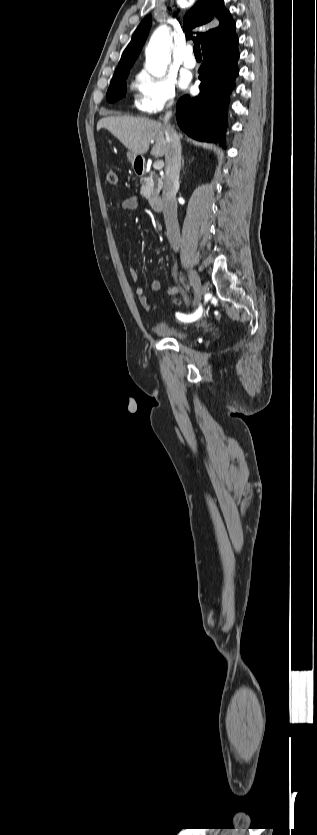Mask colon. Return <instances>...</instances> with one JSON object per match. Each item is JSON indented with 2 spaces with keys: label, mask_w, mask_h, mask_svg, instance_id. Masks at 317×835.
<instances>
[{
  "label": "colon",
  "mask_w": 317,
  "mask_h": 835,
  "mask_svg": "<svg viewBox=\"0 0 317 835\" xmlns=\"http://www.w3.org/2000/svg\"><path fill=\"white\" fill-rule=\"evenodd\" d=\"M107 181L112 185H115L117 183L118 177H117V174L114 170L111 169L107 172ZM175 303L178 304L180 302H179V300H175Z\"/></svg>",
  "instance_id": "colon-1"
}]
</instances>
